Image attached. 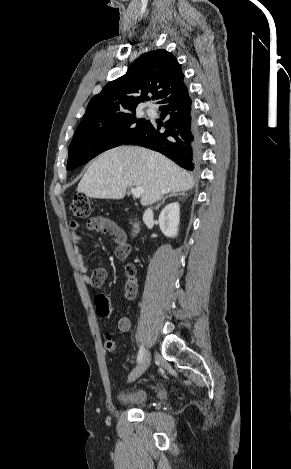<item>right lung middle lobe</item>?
<instances>
[{
  "label": "right lung middle lobe",
  "instance_id": "right-lung-middle-lobe-1",
  "mask_svg": "<svg viewBox=\"0 0 291 469\" xmlns=\"http://www.w3.org/2000/svg\"><path fill=\"white\" fill-rule=\"evenodd\" d=\"M147 122L137 119L135 111L81 121L69 146L67 170H73L103 151L123 144Z\"/></svg>",
  "mask_w": 291,
  "mask_h": 469
}]
</instances>
